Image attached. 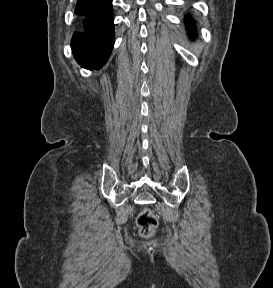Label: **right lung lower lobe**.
<instances>
[{"label":"right lung lower lobe","instance_id":"1","mask_svg":"<svg viewBox=\"0 0 273 288\" xmlns=\"http://www.w3.org/2000/svg\"><path fill=\"white\" fill-rule=\"evenodd\" d=\"M75 13L81 18L84 29L73 35V55L82 67L100 69L115 40L112 0H78Z\"/></svg>","mask_w":273,"mask_h":288}]
</instances>
